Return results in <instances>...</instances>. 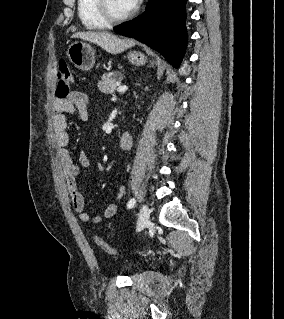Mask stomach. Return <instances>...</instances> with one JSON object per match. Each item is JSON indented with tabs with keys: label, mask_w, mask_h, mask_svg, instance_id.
<instances>
[{
	"label": "stomach",
	"mask_w": 284,
	"mask_h": 319,
	"mask_svg": "<svg viewBox=\"0 0 284 319\" xmlns=\"http://www.w3.org/2000/svg\"><path fill=\"white\" fill-rule=\"evenodd\" d=\"M67 55L75 67L83 71L90 70L95 63V51L90 44L85 42L76 41L72 43L67 50ZM128 59L131 64L136 66H143L148 60L140 52H130Z\"/></svg>",
	"instance_id": "0dacf381"
}]
</instances>
